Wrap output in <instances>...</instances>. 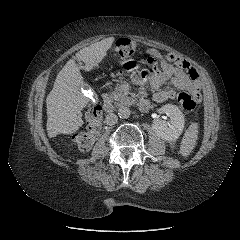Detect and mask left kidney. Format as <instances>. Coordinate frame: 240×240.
<instances>
[{"mask_svg":"<svg viewBox=\"0 0 240 240\" xmlns=\"http://www.w3.org/2000/svg\"><path fill=\"white\" fill-rule=\"evenodd\" d=\"M159 111L170 118V124L166 121L156 118L153 120L152 128L155 133L166 141H175L181 135L185 119L181 110L172 104L163 105Z\"/></svg>","mask_w":240,"mask_h":240,"instance_id":"left-kidney-1","label":"left kidney"}]
</instances>
